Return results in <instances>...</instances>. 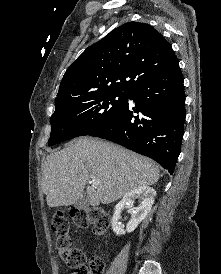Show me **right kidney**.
Segmentation results:
<instances>
[{
  "label": "right kidney",
  "mask_w": 221,
  "mask_h": 274,
  "mask_svg": "<svg viewBox=\"0 0 221 274\" xmlns=\"http://www.w3.org/2000/svg\"><path fill=\"white\" fill-rule=\"evenodd\" d=\"M156 196V191L149 186H141L135 190L128 192L123 199L115 206L114 215L111 220L112 230L116 235H123L126 232H133L138 224L142 222L145 217L150 212L152 205L154 204V197ZM139 201L138 207L131 209V219L126 225H120L119 219L121 218V211L125 206L133 207L135 200Z\"/></svg>",
  "instance_id": "right-kidney-1"
}]
</instances>
